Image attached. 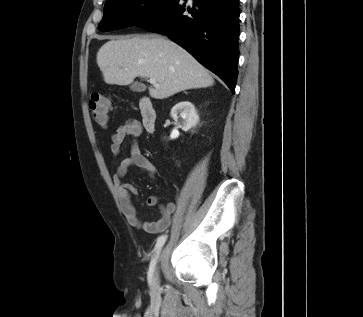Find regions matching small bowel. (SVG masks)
Listing matches in <instances>:
<instances>
[{
    "label": "small bowel",
    "mask_w": 363,
    "mask_h": 317,
    "mask_svg": "<svg viewBox=\"0 0 363 317\" xmlns=\"http://www.w3.org/2000/svg\"><path fill=\"white\" fill-rule=\"evenodd\" d=\"M143 126L136 120H128L122 124L116 132L111 136V152L114 155L119 154L121 146L127 136H131L134 141L130 148V154L124 158L117 167L116 173L113 176L114 184L116 185L120 204L127 221L138 228H142L150 233H158L166 230L176 211L174 203H168L160 207V218L154 222H142L137 214V210L132 203L131 195L138 193L137 188L129 183H121V179L127 174L128 169L136 166L145 171L149 177L155 178L157 169L153 163L142 153L137 140L143 134ZM147 206L153 207L158 204V197L151 195L147 198Z\"/></svg>",
    "instance_id": "1"
}]
</instances>
